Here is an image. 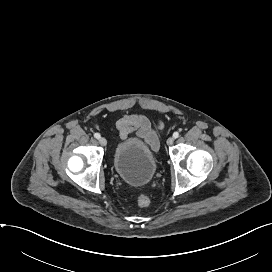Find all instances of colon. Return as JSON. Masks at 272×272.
Returning <instances> with one entry per match:
<instances>
[{"label": "colon", "mask_w": 272, "mask_h": 272, "mask_svg": "<svg viewBox=\"0 0 272 272\" xmlns=\"http://www.w3.org/2000/svg\"><path fill=\"white\" fill-rule=\"evenodd\" d=\"M137 204L139 207H147L150 204V199L146 195H140L137 198Z\"/></svg>", "instance_id": "obj_1"}]
</instances>
